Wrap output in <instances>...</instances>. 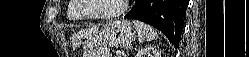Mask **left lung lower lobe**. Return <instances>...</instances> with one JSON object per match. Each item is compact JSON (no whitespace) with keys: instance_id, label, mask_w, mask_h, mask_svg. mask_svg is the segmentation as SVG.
Masks as SVG:
<instances>
[{"instance_id":"left-lung-lower-lobe-1","label":"left lung lower lobe","mask_w":249,"mask_h":57,"mask_svg":"<svg viewBox=\"0 0 249 57\" xmlns=\"http://www.w3.org/2000/svg\"><path fill=\"white\" fill-rule=\"evenodd\" d=\"M188 0H136L125 18L148 23L160 30L177 48L186 18Z\"/></svg>"}]
</instances>
